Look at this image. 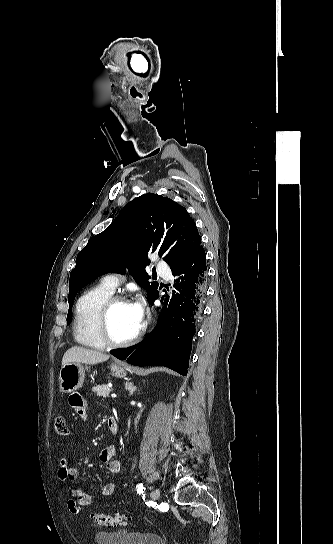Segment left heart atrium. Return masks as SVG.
Here are the masks:
<instances>
[{
	"mask_svg": "<svg viewBox=\"0 0 333 544\" xmlns=\"http://www.w3.org/2000/svg\"><path fill=\"white\" fill-rule=\"evenodd\" d=\"M130 307L136 323L140 326L144 314V305L142 300H136L135 302L130 304Z\"/></svg>",
	"mask_w": 333,
	"mask_h": 544,
	"instance_id": "1",
	"label": "left heart atrium"
}]
</instances>
